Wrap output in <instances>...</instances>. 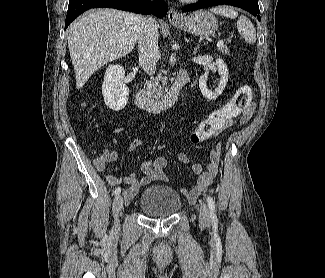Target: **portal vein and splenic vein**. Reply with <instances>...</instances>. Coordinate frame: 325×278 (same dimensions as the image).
Returning <instances> with one entry per match:
<instances>
[{"label":"portal vein and splenic vein","mask_w":325,"mask_h":278,"mask_svg":"<svg viewBox=\"0 0 325 278\" xmlns=\"http://www.w3.org/2000/svg\"><path fill=\"white\" fill-rule=\"evenodd\" d=\"M223 44H224V41L220 39V40L217 42V47L222 46Z\"/></svg>","instance_id":"portal-vein-and-splenic-vein-1"}]
</instances>
